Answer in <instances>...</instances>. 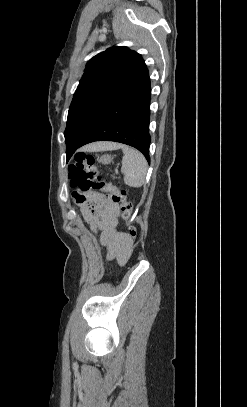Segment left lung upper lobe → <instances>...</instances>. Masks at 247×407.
I'll return each instance as SVG.
<instances>
[{
  "label": "left lung upper lobe",
  "instance_id": "obj_1",
  "mask_svg": "<svg viewBox=\"0 0 247 407\" xmlns=\"http://www.w3.org/2000/svg\"><path fill=\"white\" fill-rule=\"evenodd\" d=\"M146 69L142 56L127 47L109 48L89 60L68 112L67 160L105 108Z\"/></svg>",
  "mask_w": 247,
  "mask_h": 407
}]
</instances>
